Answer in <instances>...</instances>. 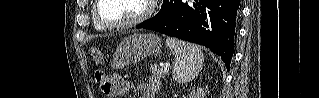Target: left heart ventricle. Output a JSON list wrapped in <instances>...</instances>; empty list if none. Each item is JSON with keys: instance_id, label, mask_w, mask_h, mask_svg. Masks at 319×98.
Returning a JSON list of instances; mask_svg holds the SVG:
<instances>
[{"instance_id": "1", "label": "left heart ventricle", "mask_w": 319, "mask_h": 98, "mask_svg": "<svg viewBox=\"0 0 319 98\" xmlns=\"http://www.w3.org/2000/svg\"><path fill=\"white\" fill-rule=\"evenodd\" d=\"M144 0H103L101 17L110 23L130 20L144 10Z\"/></svg>"}]
</instances>
